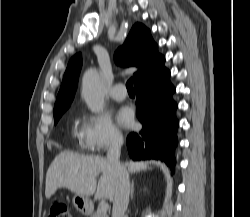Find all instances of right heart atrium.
<instances>
[{"instance_id": "1", "label": "right heart atrium", "mask_w": 250, "mask_h": 217, "mask_svg": "<svg viewBox=\"0 0 250 217\" xmlns=\"http://www.w3.org/2000/svg\"><path fill=\"white\" fill-rule=\"evenodd\" d=\"M122 139L121 131L108 114H83L80 142L85 149L100 153L118 146Z\"/></svg>"}]
</instances>
